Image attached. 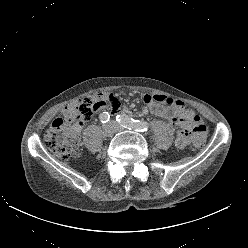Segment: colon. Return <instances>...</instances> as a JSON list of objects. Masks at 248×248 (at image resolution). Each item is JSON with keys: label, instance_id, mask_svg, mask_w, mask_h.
<instances>
[{"label": "colon", "instance_id": "obj_1", "mask_svg": "<svg viewBox=\"0 0 248 248\" xmlns=\"http://www.w3.org/2000/svg\"><path fill=\"white\" fill-rule=\"evenodd\" d=\"M157 97L155 95L154 99ZM161 97L163 100L169 98L171 100L170 105L176 104V100L173 98ZM100 106V102L94 96L85 97L74 108L65 112L63 117L56 118L45 133L46 147L58 158L69 159L78 143L80 127L91 118L95 111H98ZM193 131L195 132V138L192 148L198 150L205 143L206 127L199 123Z\"/></svg>", "mask_w": 248, "mask_h": 248}]
</instances>
